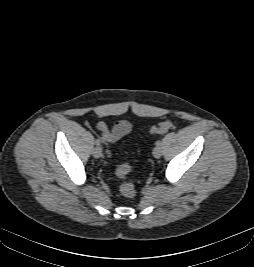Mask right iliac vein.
<instances>
[{
    "mask_svg": "<svg viewBox=\"0 0 254 267\" xmlns=\"http://www.w3.org/2000/svg\"><path fill=\"white\" fill-rule=\"evenodd\" d=\"M93 156L95 158H99L101 157L102 155V148L100 146H96L94 149H93V152H92Z\"/></svg>",
    "mask_w": 254,
    "mask_h": 267,
    "instance_id": "1",
    "label": "right iliac vein"
}]
</instances>
